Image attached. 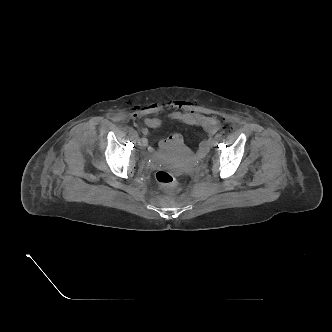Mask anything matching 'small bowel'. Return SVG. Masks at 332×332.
Returning <instances> with one entry per match:
<instances>
[{"mask_svg": "<svg viewBox=\"0 0 332 332\" xmlns=\"http://www.w3.org/2000/svg\"><path fill=\"white\" fill-rule=\"evenodd\" d=\"M165 108L173 109L168 118L171 121H177L187 125H195L201 127L207 134V139H204L199 145V152L205 153L210 144V139L216 134L221 126V121L215 117H210L205 114L196 112L189 109L188 104L179 100H172L162 104H152L145 108L147 113H157ZM163 120L160 118L148 117L144 120V126L141 129L144 137L140 140L139 144L143 148H147L149 141L147 136L150 134L151 129L159 128L163 125ZM182 137L179 134H174L168 139L162 140L159 143L161 148H165L170 144H180Z\"/></svg>", "mask_w": 332, "mask_h": 332, "instance_id": "c3829d8e", "label": "small bowel"}]
</instances>
